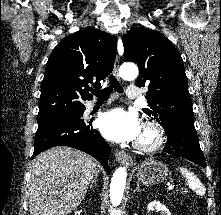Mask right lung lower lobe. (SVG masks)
Wrapping results in <instances>:
<instances>
[{"mask_svg": "<svg viewBox=\"0 0 221 215\" xmlns=\"http://www.w3.org/2000/svg\"><path fill=\"white\" fill-rule=\"evenodd\" d=\"M82 116L83 113L72 118L38 124L32 159L51 147L69 146L92 155L101 162L107 173H110L107 163L110 147L100 133L93 129L91 122L84 121Z\"/></svg>", "mask_w": 221, "mask_h": 215, "instance_id": "right-lung-lower-lobe-1", "label": "right lung lower lobe"}]
</instances>
